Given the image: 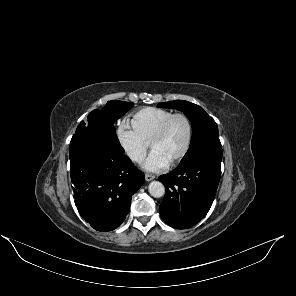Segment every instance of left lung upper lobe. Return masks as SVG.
<instances>
[{
  "label": "left lung upper lobe",
  "instance_id": "left-lung-upper-lobe-1",
  "mask_svg": "<svg viewBox=\"0 0 296 296\" xmlns=\"http://www.w3.org/2000/svg\"><path fill=\"white\" fill-rule=\"evenodd\" d=\"M158 106L183 111L192 122L193 134L190 147L180 163L198 154L221 149L217 124L203 108L184 100L159 103Z\"/></svg>",
  "mask_w": 296,
  "mask_h": 296
}]
</instances>
